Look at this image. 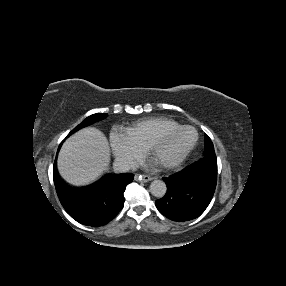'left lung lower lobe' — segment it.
Instances as JSON below:
<instances>
[{
	"label": "left lung lower lobe",
	"instance_id": "0a47b994",
	"mask_svg": "<svg viewBox=\"0 0 286 286\" xmlns=\"http://www.w3.org/2000/svg\"><path fill=\"white\" fill-rule=\"evenodd\" d=\"M163 180L167 184V192L155 202L160 213L179 222L195 219L205 211L215 192L216 155H205Z\"/></svg>",
	"mask_w": 286,
	"mask_h": 286
}]
</instances>
